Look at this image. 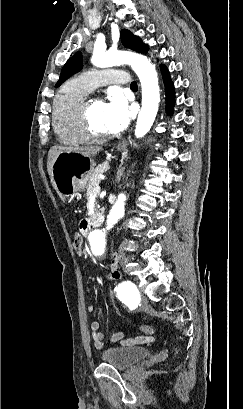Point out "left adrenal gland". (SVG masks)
<instances>
[{"label":"left adrenal gland","instance_id":"left-adrenal-gland-1","mask_svg":"<svg viewBox=\"0 0 243 409\" xmlns=\"http://www.w3.org/2000/svg\"><path fill=\"white\" fill-rule=\"evenodd\" d=\"M134 166V164L132 165V167ZM123 172H124V168H121L118 172V176H117V181L119 182L121 180V177H123Z\"/></svg>","mask_w":243,"mask_h":409}]
</instances>
